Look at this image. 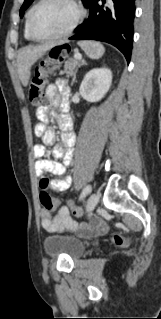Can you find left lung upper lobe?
Returning a JSON list of instances; mask_svg holds the SVG:
<instances>
[{"instance_id": "left-lung-upper-lobe-1", "label": "left lung upper lobe", "mask_w": 161, "mask_h": 319, "mask_svg": "<svg viewBox=\"0 0 161 319\" xmlns=\"http://www.w3.org/2000/svg\"><path fill=\"white\" fill-rule=\"evenodd\" d=\"M34 0H25L21 9H20V16L22 17L24 14V11L29 7V5L33 2ZM90 0H82L84 6H87L88 2Z\"/></svg>"}]
</instances>
